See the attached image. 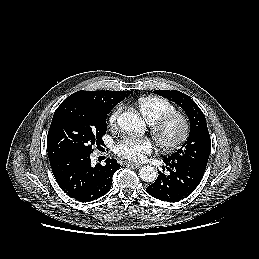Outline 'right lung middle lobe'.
I'll use <instances>...</instances> for the list:
<instances>
[{
	"label": "right lung middle lobe",
	"mask_w": 259,
	"mask_h": 259,
	"mask_svg": "<svg viewBox=\"0 0 259 259\" xmlns=\"http://www.w3.org/2000/svg\"><path fill=\"white\" fill-rule=\"evenodd\" d=\"M113 107L83 98H66L56 109L47 136L49 159L72 152L93 151L103 143L106 119Z\"/></svg>",
	"instance_id": "obj_1"
}]
</instances>
